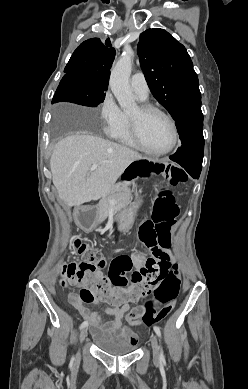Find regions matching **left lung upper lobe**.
<instances>
[{
	"label": "left lung upper lobe",
	"mask_w": 248,
	"mask_h": 389,
	"mask_svg": "<svg viewBox=\"0 0 248 389\" xmlns=\"http://www.w3.org/2000/svg\"><path fill=\"white\" fill-rule=\"evenodd\" d=\"M138 55L153 96L174 119L188 105L201 102L191 58L185 47L167 31L154 28L141 33Z\"/></svg>",
	"instance_id": "1"
}]
</instances>
